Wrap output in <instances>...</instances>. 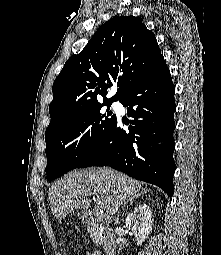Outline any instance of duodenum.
I'll return each instance as SVG.
<instances>
[{"instance_id": "410a0bca", "label": "duodenum", "mask_w": 221, "mask_h": 255, "mask_svg": "<svg viewBox=\"0 0 221 255\" xmlns=\"http://www.w3.org/2000/svg\"><path fill=\"white\" fill-rule=\"evenodd\" d=\"M84 223L91 225L103 245L105 255H117V244L114 232L108 228L105 216L91 210L82 213Z\"/></svg>"}]
</instances>
